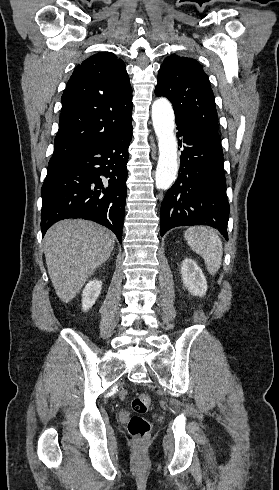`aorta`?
<instances>
[{"mask_svg":"<svg viewBox=\"0 0 279 490\" xmlns=\"http://www.w3.org/2000/svg\"><path fill=\"white\" fill-rule=\"evenodd\" d=\"M152 121L159 149L155 173L156 187L167 190L176 180L178 163L177 141L174 134L175 116L172 105L166 98H159L154 101Z\"/></svg>","mask_w":279,"mask_h":490,"instance_id":"obj_1","label":"aorta"}]
</instances>
